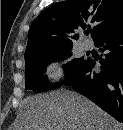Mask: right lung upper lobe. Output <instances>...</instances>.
Wrapping results in <instances>:
<instances>
[{"label": "right lung upper lobe", "mask_w": 123, "mask_h": 130, "mask_svg": "<svg viewBox=\"0 0 123 130\" xmlns=\"http://www.w3.org/2000/svg\"><path fill=\"white\" fill-rule=\"evenodd\" d=\"M89 24L95 25L94 40L122 26L123 0H67L52 4L34 19L25 58L72 47L69 34Z\"/></svg>", "instance_id": "cb5924a9"}]
</instances>
